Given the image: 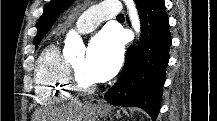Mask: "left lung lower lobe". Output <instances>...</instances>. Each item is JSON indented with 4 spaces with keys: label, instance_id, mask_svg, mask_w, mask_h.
<instances>
[{
    "label": "left lung lower lobe",
    "instance_id": "obj_1",
    "mask_svg": "<svg viewBox=\"0 0 217 121\" xmlns=\"http://www.w3.org/2000/svg\"><path fill=\"white\" fill-rule=\"evenodd\" d=\"M141 20L139 47L127 49L125 64L105 99L118 106H136L155 120L159 113L171 34L164 0H135Z\"/></svg>",
    "mask_w": 217,
    "mask_h": 121
}]
</instances>
